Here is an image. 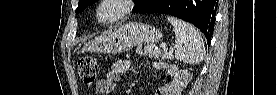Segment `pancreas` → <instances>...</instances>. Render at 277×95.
Listing matches in <instances>:
<instances>
[{"instance_id": "pancreas-1", "label": "pancreas", "mask_w": 277, "mask_h": 95, "mask_svg": "<svg viewBox=\"0 0 277 95\" xmlns=\"http://www.w3.org/2000/svg\"><path fill=\"white\" fill-rule=\"evenodd\" d=\"M136 52L141 56H149L150 58H154V59H159V58L168 59V60L173 59V55L171 53L167 52L166 50L155 49L153 44H148L143 48L138 47L136 49Z\"/></svg>"}]
</instances>
